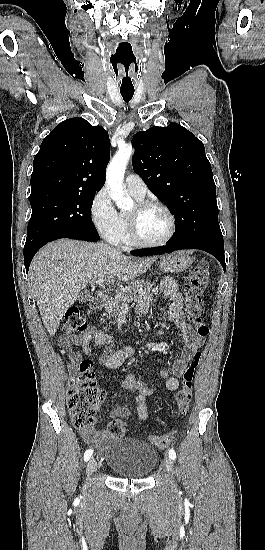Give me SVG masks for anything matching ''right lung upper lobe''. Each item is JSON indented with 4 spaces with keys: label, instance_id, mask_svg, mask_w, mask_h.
Returning <instances> with one entry per match:
<instances>
[{
    "label": "right lung upper lobe",
    "instance_id": "cb5924a9",
    "mask_svg": "<svg viewBox=\"0 0 265 550\" xmlns=\"http://www.w3.org/2000/svg\"><path fill=\"white\" fill-rule=\"evenodd\" d=\"M109 158L104 128L83 118L67 119L42 141L33 161L31 192L95 194L104 184Z\"/></svg>",
    "mask_w": 265,
    "mask_h": 550
}]
</instances>
